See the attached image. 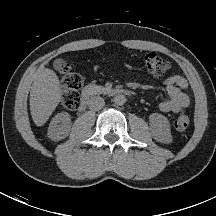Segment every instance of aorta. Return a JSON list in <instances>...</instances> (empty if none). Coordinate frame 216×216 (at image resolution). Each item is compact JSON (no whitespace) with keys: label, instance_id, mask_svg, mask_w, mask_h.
<instances>
[{"label":"aorta","instance_id":"aorta-1","mask_svg":"<svg viewBox=\"0 0 216 216\" xmlns=\"http://www.w3.org/2000/svg\"><path fill=\"white\" fill-rule=\"evenodd\" d=\"M113 101H114V103H115L116 105L122 106V105L125 104L126 98H125L124 95L118 94V95H116V96L114 97V100H113Z\"/></svg>","mask_w":216,"mask_h":216}]
</instances>
